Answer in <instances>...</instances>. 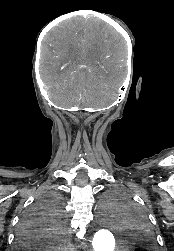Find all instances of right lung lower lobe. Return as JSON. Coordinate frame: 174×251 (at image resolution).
<instances>
[{"instance_id": "1", "label": "right lung lower lobe", "mask_w": 174, "mask_h": 251, "mask_svg": "<svg viewBox=\"0 0 174 251\" xmlns=\"http://www.w3.org/2000/svg\"><path fill=\"white\" fill-rule=\"evenodd\" d=\"M53 230H55L56 233L50 232ZM60 231L61 229L56 228L48 220L25 218L17 232L16 248L19 251H44L30 249L34 247H52L57 250H62L60 244L62 234Z\"/></svg>"}]
</instances>
